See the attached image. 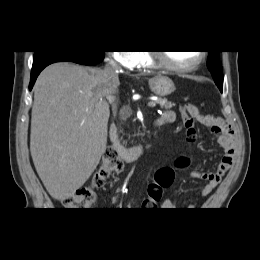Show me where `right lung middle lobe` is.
<instances>
[{"label": "right lung middle lobe", "mask_w": 260, "mask_h": 260, "mask_svg": "<svg viewBox=\"0 0 260 260\" xmlns=\"http://www.w3.org/2000/svg\"><path fill=\"white\" fill-rule=\"evenodd\" d=\"M41 54H42V52L35 51V52H34V58L40 56Z\"/></svg>", "instance_id": "right-lung-middle-lobe-1"}]
</instances>
